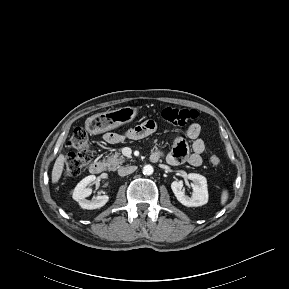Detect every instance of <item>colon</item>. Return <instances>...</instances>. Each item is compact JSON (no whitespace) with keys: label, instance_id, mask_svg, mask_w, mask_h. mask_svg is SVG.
Wrapping results in <instances>:
<instances>
[{"label":"colon","instance_id":"obj_1","mask_svg":"<svg viewBox=\"0 0 289 289\" xmlns=\"http://www.w3.org/2000/svg\"><path fill=\"white\" fill-rule=\"evenodd\" d=\"M160 115L169 124L184 126L197 119L198 112L193 109L166 107L161 111ZM68 145L74 151L67 156L64 176L73 178L83 172L92 158L86 130L81 127L75 128L70 136ZM209 160L214 166H218L221 162L220 158L213 153H209Z\"/></svg>","mask_w":289,"mask_h":289}]
</instances>
